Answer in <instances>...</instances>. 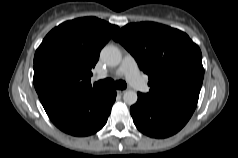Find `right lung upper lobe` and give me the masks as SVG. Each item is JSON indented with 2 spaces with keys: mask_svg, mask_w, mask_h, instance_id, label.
I'll return each instance as SVG.
<instances>
[{
  "mask_svg": "<svg viewBox=\"0 0 238 158\" xmlns=\"http://www.w3.org/2000/svg\"><path fill=\"white\" fill-rule=\"evenodd\" d=\"M119 27L96 17L66 21L52 29L34 56V86L46 91L88 92L100 90L90 84L103 46Z\"/></svg>",
  "mask_w": 238,
  "mask_h": 158,
  "instance_id": "1",
  "label": "right lung upper lobe"
}]
</instances>
